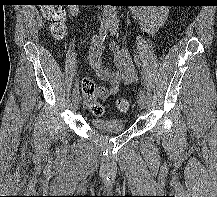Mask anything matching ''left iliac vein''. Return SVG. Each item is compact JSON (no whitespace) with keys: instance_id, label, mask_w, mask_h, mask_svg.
<instances>
[{"instance_id":"left-iliac-vein-1","label":"left iliac vein","mask_w":217,"mask_h":197,"mask_svg":"<svg viewBox=\"0 0 217 197\" xmlns=\"http://www.w3.org/2000/svg\"><path fill=\"white\" fill-rule=\"evenodd\" d=\"M137 102L141 109H145L147 103V97L143 90H140L137 95Z\"/></svg>"}]
</instances>
